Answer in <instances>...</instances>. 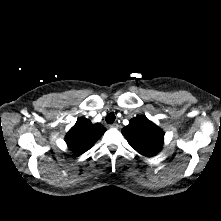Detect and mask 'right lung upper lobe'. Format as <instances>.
Returning <instances> with one entry per match:
<instances>
[{"instance_id": "1", "label": "right lung upper lobe", "mask_w": 221, "mask_h": 221, "mask_svg": "<svg viewBox=\"0 0 221 221\" xmlns=\"http://www.w3.org/2000/svg\"><path fill=\"white\" fill-rule=\"evenodd\" d=\"M105 131L100 123L92 124L89 119L80 118L66 134L65 141L75 155H81L92 148Z\"/></svg>"}]
</instances>
